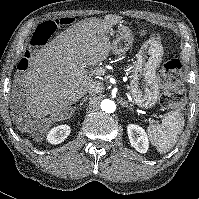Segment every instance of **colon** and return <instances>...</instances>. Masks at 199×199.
<instances>
[{"mask_svg": "<svg viewBox=\"0 0 199 199\" xmlns=\"http://www.w3.org/2000/svg\"><path fill=\"white\" fill-rule=\"evenodd\" d=\"M60 23L62 22L58 20H48L43 22L33 35L32 45H45ZM30 56L31 52L28 51L24 61H27ZM181 70L182 63L178 58H171L163 65L161 79L164 85V93L161 95L160 104L164 108L181 105L184 101L181 97L183 87L179 79Z\"/></svg>", "mask_w": 199, "mask_h": 199, "instance_id": "colon-1", "label": "colon"}]
</instances>
